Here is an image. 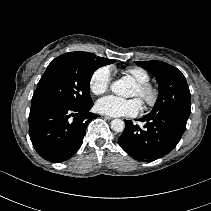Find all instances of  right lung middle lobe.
Returning a JSON list of instances; mask_svg holds the SVG:
<instances>
[{"mask_svg": "<svg viewBox=\"0 0 211 211\" xmlns=\"http://www.w3.org/2000/svg\"><path fill=\"white\" fill-rule=\"evenodd\" d=\"M114 61L87 52H70L55 58L41 77L31 105L81 108L91 104L89 85L94 71Z\"/></svg>", "mask_w": 211, "mask_h": 211, "instance_id": "dd1d6c3e", "label": "right lung middle lobe"}]
</instances>
